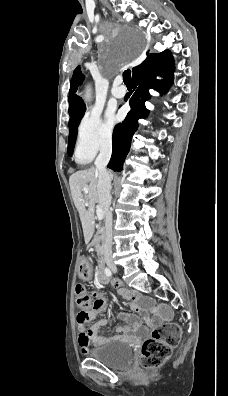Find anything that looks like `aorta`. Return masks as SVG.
<instances>
[{"instance_id":"obj_1","label":"aorta","mask_w":228,"mask_h":396,"mask_svg":"<svg viewBox=\"0 0 228 396\" xmlns=\"http://www.w3.org/2000/svg\"><path fill=\"white\" fill-rule=\"evenodd\" d=\"M89 97H90V90H89V89H87V90H86V96H85V99H86V100H88V99H89Z\"/></svg>"}]
</instances>
